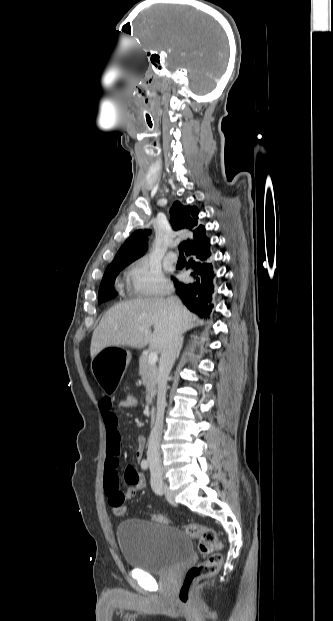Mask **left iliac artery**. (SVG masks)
Returning a JSON list of instances; mask_svg holds the SVG:
<instances>
[{"instance_id":"left-iliac-artery-1","label":"left iliac artery","mask_w":333,"mask_h":621,"mask_svg":"<svg viewBox=\"0 0 333 621\" xmlns=\"http://www.w3.org/2000/svg\"><path fill=\"white\" fill-rule=\"evenodd\" d=\"M151 486L155 491L157 490V483L155 481L151 480Z\"/></svg>"}]
</instances>
